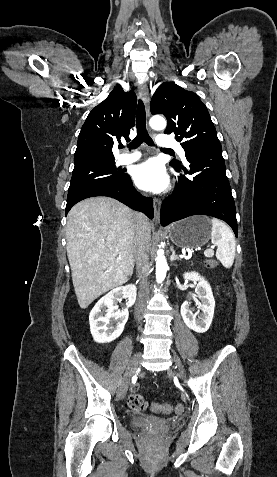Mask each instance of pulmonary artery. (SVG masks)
Listing matches in <instances>:
<instances>
[{"instance_id":"pulmonary-artery-1","label":"pulmonary artery","mask_w":277,"mask_h":477,"mask_svg":"<svg viewBox=\"0 0 277 477\" xmlns=\"http://www.w3.org/2000/svg\"><path fill=\"white\" fill-rule=\"evenodd\" d=\"M158 144L159 146L166 149H175L182 158H185V151L183 147L177 141L169 138L168 136L160 135L158 137ZM140 157H141V154L137 151H134L131 153H124L119 156L118 162L120 164H129V163L137 161Z\"/></svg>"}]
</instances>
